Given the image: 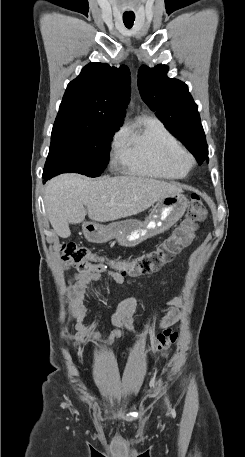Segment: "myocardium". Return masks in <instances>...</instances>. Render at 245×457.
I'll use <instances>...</instances> for the list:
<instances>
[{
	"instance_id": "1",
	"label": "myocardium",
	"mask_w": 245,
	"mask_h": 457,
	"mask_svg": "<svg viewBox=\"0 0 245 457\" xmlns=\"http://www.w3.org/2000/svg\"><path fill=\"white\" fill-rule=\"evenodd\" d=\"M170 158L172 161L185 167L186 169L193 166L195 162L193 156L183 148H180L178 151L174 152Z\"/></svg>"
}]
</instances>
